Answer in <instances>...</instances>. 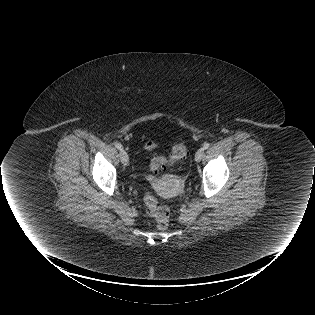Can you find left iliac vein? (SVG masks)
Instances as JSON below:
<instances>
[{
    "label": "left iliac vein",
    "instance_id": "1",
    "mask_svg": "<svg viewBox=\"0 0 315 315\" xmlns=\"http://www.w3.org/2000/svg\"><path fill=\"white\" fill-rule=\"evenodd\" d=\"M203 155H204V149L203 148L198 149L196 154H195V161L200 162Z\"/></svg>",
    "mask_w": 315,
    "mask_h": 315
}]
</instances>
